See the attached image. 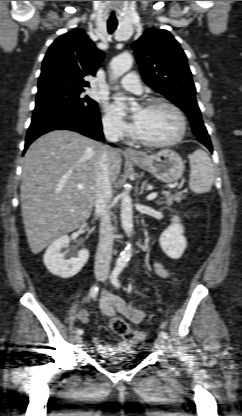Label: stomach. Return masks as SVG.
Wrapping results in <instances>:
<instances>
[{"mask_svg": "<svg viewBox=\"0 0 242 416\" xmlns=\"http://www.w3.org/2000/svg\"><path fill=\"white\" fill-rule=\"evenodd\" d=\"M131 162L165 183L179 180L184 171L182 158L170 149H163L152 155L144 154L141 160L132 159Z\"/></svg>", "mask_w": 242, "mask_h": 416, "instance_id": "stomach-1", "label": "stomach"}]
</instances>
